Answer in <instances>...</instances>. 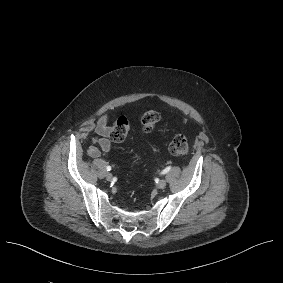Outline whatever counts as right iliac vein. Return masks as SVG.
<instances>
[{"mask_svg": "<svg viewBox=\"0 0 283 283\" xmlns=\"http://www.w3.org/2000/svg\"><path fill=\"white\" fill-rule=\"evenodd\" d=\"M105 178L107 181H111L113 179V175L111 173H106Z\"/></svg>", "mask_w": 283, "mask_h": 283, "instance_id": "1", "label": "right iliac vein"}]
</instances>
